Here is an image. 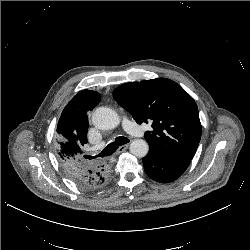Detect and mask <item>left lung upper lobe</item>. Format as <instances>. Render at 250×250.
Returning a JSON list of instances; mask_svg holds the SVG:
<instances>
[{
	"mask_svg": "<svg viewBox=\"0 0 250 250\" xmlns=\"http://www.w3.org/2000/svg\"><path fill=\"white\" fill-rule=\"evenodd\" d=\"M113 96L138 124L151 123L145 132L150 151L174 159L194 157L201 138L199 112L179 84L166 78L129 82Z\"/></svg>",
	"mask_w": 250,
	"mask_h": 250,
	"instance_id": "5c2ea615",
	"label": "left lung upper lobe"
}]
</instances>
